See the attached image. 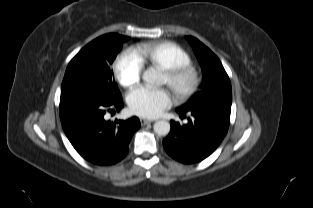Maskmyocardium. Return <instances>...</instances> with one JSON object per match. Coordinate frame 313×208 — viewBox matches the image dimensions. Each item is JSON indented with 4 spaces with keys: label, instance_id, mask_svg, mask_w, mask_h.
<instances>
[{
    "label": "myocardium",
    "instance_id": "obj_1",
    "mask_svg": "<svg viewBox=\"0 0 313 208\" xmlns=\"http://www.w3.org/2000/svg\"><path fill=\"white\" fill-rule=\"evenodd\" d=\"M164 74L167 85L179 100L191 98L201 84V76L198 69L190 64L164 70Z\"/></svg>",
    "mask_w": 313,
    "mask_h": 208
}]
</instances>
